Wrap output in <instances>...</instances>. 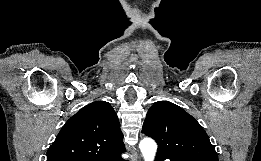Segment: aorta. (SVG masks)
<instances>
[{
	"label": "aorta",
	"mask_w": 261,
	"mask_h": 161,
	"mask_svg": "<svg viewBox=\"0 0 261 161\" xmlns=\"http://www.w3.org/2000/svg\"><path fill=\"white\" fill-rule=\"evenodd\" d=\"M139 147L145 161H154L157 145L153 139L148 137L144 138L141 140Z\"/></svg>",
	"instance_id": "1"
}]
</instances>
